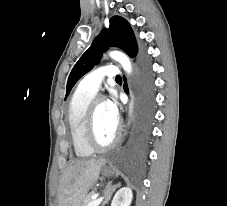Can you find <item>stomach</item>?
Masks as SVG:
<instances>
[{
    "label": "stomach",
    "instance_id": "obj_1",
    "mask_svg": "<svg viewBox=\"0 0 227 206\" xmlns=\"http://www.w3.org/2000/svg\"><path fill=\"white\" fill-rule=\"evenodd\" d=\"M102 174L105 176H111L113 174L111 167L106 165V161L102 165Z\"/></svg>",
    "mask_w": 227,
    "mask_h": 206
}]
</instances>
